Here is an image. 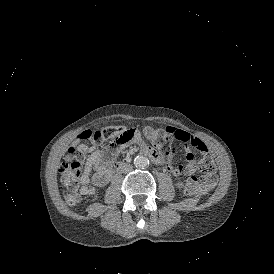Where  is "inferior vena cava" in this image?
Returning a JSON list of instances; mask_svg holds the SVG:
<instances>
[{
    "mask_svg": "<svg viewBox=\"0 0 274 274\" xmlns=\"http://www.w3.org/2000/svg\"><path fill=\"white\" fill-rule=\"evenodd\" d=\"M124 167L127 168L129 171L132 170V166L130 164H126Z\"/></svg>",
    "mask_w": 274,
    "mask_h": 274,
    "instance_id": "inferior-vena-cava-1",
    "label": "inferior vena cava"
}]
</instances>
